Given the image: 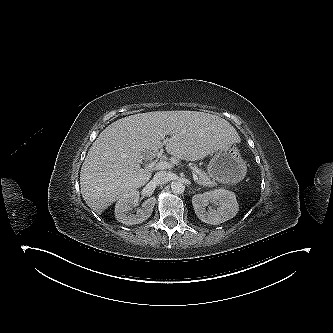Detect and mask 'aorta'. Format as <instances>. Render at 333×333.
Returning <instances> with one entry per match:
<instances>
[{
	"instance_id": "obj_1",
	"label": "aorta",
	"mask_w": 333,
	"mask_h": 333,
	"mask_svg": "<svg viewBox=\"0 0 333 333\" xmlns=\"http://www.w3.org/2000/svg\"><path fill=\"white\" fill-rule=\"evenodd\" d=\"M171 190L175 194H181L185 191V185L181 182H173L171 185Z\"/></svg>"
}]
</instances>
